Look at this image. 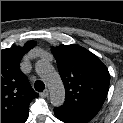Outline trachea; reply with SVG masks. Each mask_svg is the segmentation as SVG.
Listing matches in <instances>:
<instances>
[{"instance_id":"trachea-1","label":"trachea","mask_w":123,"mask_h":123,"mask_svg":"<svg viewBox=\"0 0 123 123\" xmlns=\"http://www.w3.org/2000/svg\"><path fill=\"white\" fill-rule=\"evenodd\" d=\"M34 88L36 91L42 92L45 88V84L42 81L37 80L34 84Z\"/></svg>"}]
</instances>
